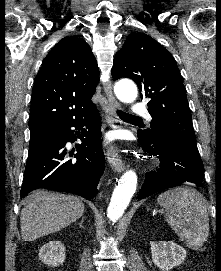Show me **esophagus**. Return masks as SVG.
I'll use <instances>...</instances> for the list:
<instances>
[{
	"label": "esophagus",
	"mask_w": 221,
	"mask_h": 271,
	"mask_svg": "<svg viewBox=\"0 0 221 271\" xmlns=\"http://www.w3.org/2000/svg\"><path fill=\"white\" fill-rule=\"evenodd\" d=\"M104 90L107 96L108 104L105 107L106 120L110 128H119L122 122L117 117L116 111L119 108V103L115 99L110 83L104 84ZM120 148L117 145H110L106 150V157L111 168L116 172H122L125 169L124 162L121 158Z\"/></svg>",
	"instance_id": "esophagus-1"
}]
</instances>
